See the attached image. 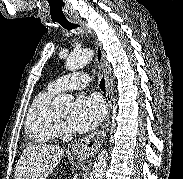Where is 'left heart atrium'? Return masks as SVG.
Returning <instances> with one entry per match:
<instances>
[{
  "mask_svg": "<svg viewBox=\"0 0 183 179\" xmlns=\"http://www.w3.org/2000/svg\"><path fill=\"white\" fill-rule=\"evenodd\" d=\"M105 107L96 96L78 97L72 114L69 117L70 127L77 132H87L94 129L103 119Z\"/></svg>",
  "mask_w": 183,
  "mask_h": 179,
  "instance_id": "39dd6f15",
  "label": "left heart atrium"
}]
</instances>
